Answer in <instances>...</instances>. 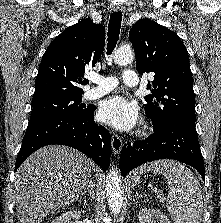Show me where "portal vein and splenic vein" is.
Wrapping results in <instances>:
<instances>
[{
	"label": "portal vein and splenic vein",
	"instance_id": "1",
	"mask_svg": "<svg viewBox=\"0 0 221 223\" xmlns=\"http://www.w3.org/2000/svg\"><path fill=\"white\" fill-rule=\"evenodd\" d=\"M157 189L156 188H153V191H156Z\"/></svg>",
	"mask_w": 221,
	"mask_h": 223
}]
</instances>
